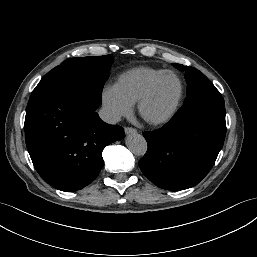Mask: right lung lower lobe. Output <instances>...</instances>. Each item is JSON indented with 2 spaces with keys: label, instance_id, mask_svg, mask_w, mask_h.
<instances>
[{
  "label": "right lung lower lobe",
  "instance_id": "1",
  "mask_svg": "<svg viewBox=\"0 0 257 257\" xmlns=\"http://www.w3.org/2000/svg\"><path fill=\"white\" fill-rule=\"evenodd\" d=\"M102 99L81 86L31 94L24 124L35 169L44 181L65 192L91 183L103 166V148L124 137V129L103 122Z\"/></svg>",
  "mask_w": 257,
  "mask_h": 257
}]
</instances>
